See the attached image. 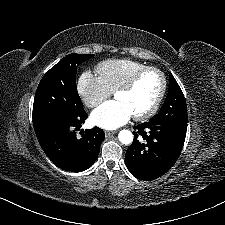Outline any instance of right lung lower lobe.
<instances>
[{
	"instance_id": "right-lung-lower-lobe-1",
	"label": "right lung lower lobe",
	"mask_w": 225,
	"mask_h": 225,
	"mask_svg": "<svg viewBox=\"0 0 225 225\" xmlns=\"http://www.w3.org/2000/svg\"><path fill=\"white\" fill-rule=\"evenodd\" d=\"M86 118L87 113L81 109L76 113L48 120L34 129L45 154L63 170L81 172L92 166L97 159L105 133L94 127L81 132L82 137L77 138L76 131Z\"/></svg>"
}]
</instances>
